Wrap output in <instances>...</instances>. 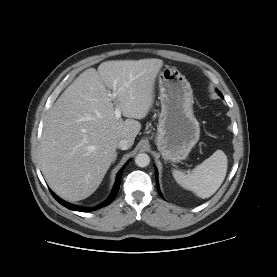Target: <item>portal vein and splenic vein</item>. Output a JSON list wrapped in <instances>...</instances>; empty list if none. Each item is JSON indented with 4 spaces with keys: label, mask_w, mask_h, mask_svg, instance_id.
<instances>
[{
    "label": "portal vein and splenic vein",
    "mask_w": 277,
    "mask_h": 277,
    "mask_svg": "<svg viewBox=\"0 0 277 277\" xmlns=\"http://www.w3.org/2000/svg\"><path fill=\"white\" fill-rule=\"evenodd\" d=\"M109 96H110L111 100H115V98H116V93L113 91V93H112V94H109ZM114 114H115V117H116L117 119L121 118V109H120L119 107H116V108H115Z\"/></svg>",
    "instance_id": "portal-vein-and-splenic-vein-1"
}]
</instances>
